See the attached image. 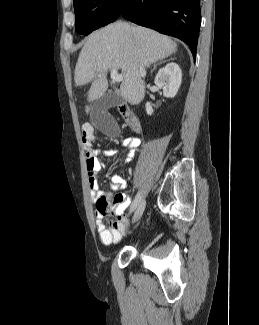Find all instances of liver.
Wrapping results in <instances>:
<instances>
[{
  "label": "liver",
  "mask_w": 259,
  "mask_h": 325,
  "mask_svg": "<svg viewBox=\"0 0 259 325\" xmlns=\"http://www.w3.org/2000/svg\"><path fill=\"white\" fill-rule=\"evenodd\" d=\"M176 51L177 44L169 37L145 27H133L117 21L88 36L75 67V83L81 86L92 81L87 93V101L92 103L108 89V70H121V96L136 105L145 95L140 66L149 67ZM90 108L89 105L85 107L87 114Z\"/></svg>",
  "instance_id": "liver-1"
}]
</instances>
